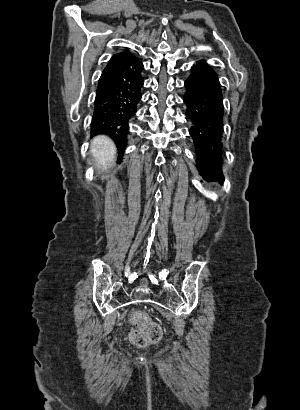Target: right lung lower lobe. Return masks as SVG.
<instances>
[{"instance_id": "right-lung-lower-lobe-1", "label": "right lung lower lobe", "mask_w": 300, "mask_h": 410, "mask_svg": "<svg viewBox=\"0 0 300 410\" xmlns=\"http://www.w3.org/2000/svg\"><path fill=\"white\" fill-rule=\"evenodd\" d=\"M142 70L136 57L124 59L107 65L98 82L91 131L113 138L119 155L125 150L129 121L141 100Z\"/></svg>"}]
</instances>
